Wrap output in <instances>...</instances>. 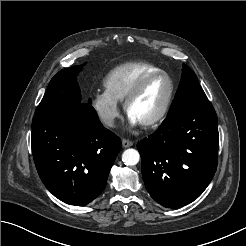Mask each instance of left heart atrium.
I'll use <instances>...</instances> for the list:
<instances>
[{"label": "left heart atrium", "mask_w": 246, "mask_h": 246, "mask_svg": "<svg viewBox=\"0 0 246 246\" xmlns=\"http://www.w3.org/2000/svg\"><path fill=\"white\" fill-rule=\"evenodd\" d=\"M128 120H129L130 125L133 127L139 124V122L134 117L130 116L129 114H128Z\"/></svg>", "instance_id": "obj_1"}]
</instances>
